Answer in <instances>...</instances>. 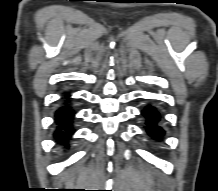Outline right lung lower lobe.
Segmentation results:
<instances>
[{"label":"right lung lower lobe","mask_w":218,"mask_h":191,"mask_svg":"<svg viewBox=\"0 0 218 191\" xmlns=\"http://www.w3.org/2000/svg\"><path fill=\"white\" fill-rule=\"evenodd\" d=\"M75 112L70 105V94L66 93L65 98L62 100V105L55 112V123L57 125L54 133L58 140L68 146L69 138L73 133L72 120Z\"/></svg>","instance_id":"right-lung-lower-lobe-1"}]
</instances>
